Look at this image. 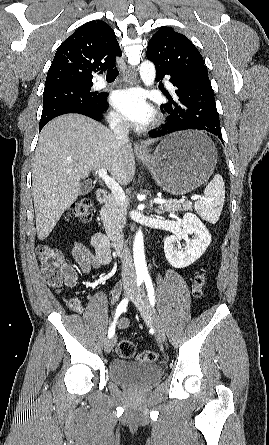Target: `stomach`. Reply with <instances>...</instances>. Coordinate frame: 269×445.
I'll return each mask as SVG.
<instances>
[{"instance_id": "1", "label": "stomach", "mask_w": 269, "mask_h": 445, "mask_svg": "<svg viewBox=\"0 0 269 445\" xmlns=\"http://www.w3.org/2000/svg\"><path fill=\"white\" fill-rule=\"evenodd\" d=\"M217 157L214 144L205 134L183 131L167 136L153 155L141 156V160L158 186L172 195H183L209 179Z\"/></svg>"}]
</instances>
